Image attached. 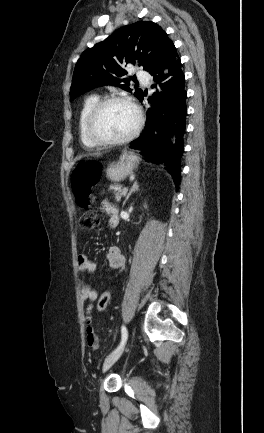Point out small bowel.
Here are the masks:
<instances>
[{
	"label": "small bowel",
	"instance_id": "small-bowel-1",
	"mask_svg": "<svg viewBox=\"0 0 264 433\" xmlns=\"http://www.w3.org/2000/svg\"><path fill=\"white\" fill-rule=\"evenodd\" d=\"M100 208L103 212L108 214L110 226L115 227L118 224L117 209L107 200L101 202ZM106 258L111 268L116 270L124 269L126 264V258L118 246L115 245L110 247L106 254ZM77 262L78 268L82 272L91 273L94 272L96 269L95 263L91 261L89 257L85 254H80L78 256ZM80 293L82 302L84 304V311L87 322L86 343L90 349L95 350L98 348L99 338L91 326V313L93 309V303L96 301L98 293L95 289L84 283L81 285Z\"/></svg>",
	"mask_w": 264,
	"mask_h": 433
}]
</instances>
